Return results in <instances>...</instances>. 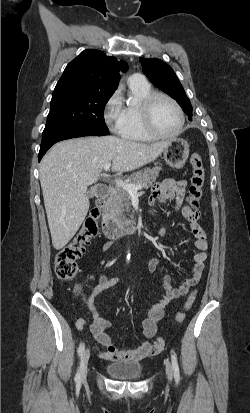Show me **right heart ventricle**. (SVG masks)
Listing matches in <instances>:
<instances>
[{
	"instance_id": "right-heart-ventricle-1",
	"label": "right heart ventricle",
	"mask_w": 250,
	"mask_h": 413,
	"mask_svg": "<svg viewBox=\"0 0 250 413\" xmlns=\"http://www.w3.org/2000/svg\"><path fill=\"white\" fill-rule=\"evenodd\" d=\"M129 88L137 102L123 108L124 118L121 135L131 141H150L153 138L144 129L140 106L143 99L152 92V88L147 82L143 84L129 83Z\"/></svg>"
}]
</instances>
